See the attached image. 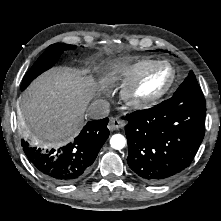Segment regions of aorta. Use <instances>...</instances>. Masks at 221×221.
I'll return each instance as SVG.
<instances>
[{
	"label": "aorta",
	"instance_id": "aorta-1",
	"mask_svg": "<svg viewBox=\"0 0 221 221\" xmlns=\"http://www.w3.org/2000/svg\"><path fill=\"white\" fill-rule=\"evenodd\" d=\"M110 145L113 149L121 150L126 145V139L121 134H114L110 139Z\"/></svg>",
	"mask_w": 221,
	"mask_h": 221
}]
</instances>
